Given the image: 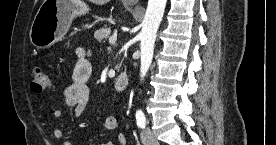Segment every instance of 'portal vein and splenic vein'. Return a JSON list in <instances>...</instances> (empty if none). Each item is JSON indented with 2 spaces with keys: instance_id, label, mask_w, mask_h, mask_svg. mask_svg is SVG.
<instances>
[{
  "instance_id": "portal-vein-and-splenic-vein-1",
  "label": "portal vein and splenic vein",
  "mask_w": 276,
  "mask_h": 145,
  "mask_svg": "<svg viewBox=\"0 0 276 145\" xmlns=\"http://www.w3.org/2000/svg\"><path fill=\"white\" fill-rule=\"evenodd\" d=\"M116 41H117V37H116V36H111V37L109 38V43H110L111 45H115V44H116Z\"/></svg>"
}]
</instances>
